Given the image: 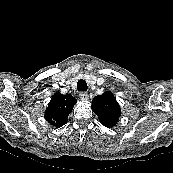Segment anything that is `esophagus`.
Wrapping results in <instances>:
<instances>
[{
    "label": "esophagus",
    "mask_w": 173,
    "mask_h": 173,
    "mask_svg": "<svg viewBox=\"0 0 173 173\" xmlns=\"http://www.w3.org/2000/svg\"><path fill=\"white\" fill-rule=\"evenodd\" d=\"M79 97H80L81 100H88L89 99V95H88L87 92H81L79 94Z\"/></svg>",
    "instance_id": "obj_1"
}]
</instances>
